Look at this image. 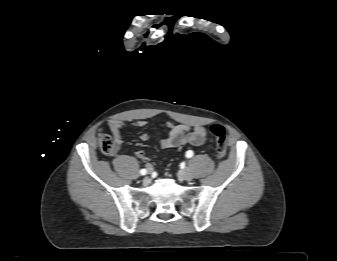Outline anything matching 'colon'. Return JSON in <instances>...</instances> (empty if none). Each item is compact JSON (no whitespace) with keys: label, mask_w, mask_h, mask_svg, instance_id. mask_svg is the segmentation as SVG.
I'll return each instance as SVG.
<instances>
[{"label":"colon","mask_w":337,"mask_h":261,"mask_svg":"<svg viewBox=\"0 0 337 261\" xmlns=\"http://www.w3.org/2000/svg\"><path fill=\"white\" fill-rule=\"evenodd\" d=\"M209 130L216 139V157L217 159H223L227 154L225 129L219 124H212ZM98 145L101 152L105 155H111L116 150V143L111 136L106 133H99Z\"/></svg>","instance_id":"colon-1"}]
</instances>
